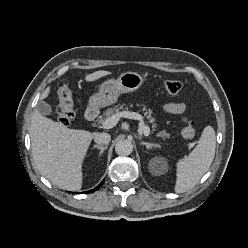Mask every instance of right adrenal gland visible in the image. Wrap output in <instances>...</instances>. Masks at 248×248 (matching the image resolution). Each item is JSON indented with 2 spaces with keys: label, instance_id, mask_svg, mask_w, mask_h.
I'll return each instance as SVG.
<instances>
[{
  "label": "right adrenal gland",
  "instance_id": "right-adrenal-gland-1",
  "mask_svg": "<svg viewBox=\"0 0 248 248\" xmlns=\"http://www.w3.org/2000/svg\"><path fill=\"white\" fill-rule=\"evenodd\" d=\"M93 148L99 149L100 150L99 155H101L108 147L107 146L94 145Z\"/></svg>",
  "mask_w": 248,
  "mask_h": 248
}]
</instances>
